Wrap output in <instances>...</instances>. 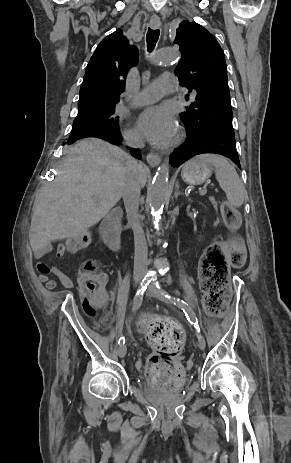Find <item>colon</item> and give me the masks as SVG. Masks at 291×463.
<instances>
[{"instance_id": "obj_1", "label": "colon", "mask_w": 291, "mask_h": 463, "mask_svg": "<svg viewBox=\"0 0 291 463\" xmlns=\"http://www.w3.org/2000/svg\"><path fill=\"white\" fill-rule=\"evenodd\" d=\"M221 212L229 227L238 226L240 216L235 207L224 202ZM89 240L88 232L80 231L67 241V249L72 253L81 252L87 247ZM242 257L241 242L236 237L213 243L203 254L199 275L204 293V307L210 315L219 317L225 313L230 296L229 260L239 264ZM39 268L45 269L43 265ZM98 269V263L88 259L82 264L80 272L83 308L87 314L97 315L107 299ZM143 329L156 351L148 365V376L153 383H162L170 388L181 373L176 359L183 346L185 334L177 323L164 319L147 318L143 321Z\"/></svg>"}]
</instances>
